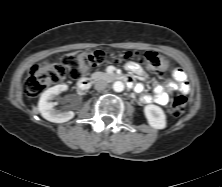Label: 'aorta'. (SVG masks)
<instances>
[{
    "label": "aorta",
    "mask_w": 222,
    "mask_h": 187,
    "mask_svg": "<svg viewBox=\"0 0 222 187\" xmlns=\"http://www.w3.org/2000/svg\"><path fill=\"white\" fill-rule=\"evenodd\" d=\"M112 87L115 92H122L124 90V83L121 81H116L113 83Z\"/></svg>",
    "instance_id": "aorta-1"
}]
</instances>
